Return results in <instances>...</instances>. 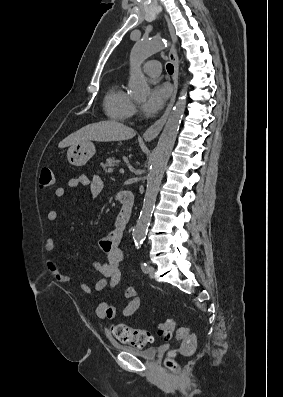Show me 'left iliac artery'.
Here are the masks:
<instances>
[{
	"label": "left iliac artery",
	"instance_id": "44dca946",
	"mask_svg": "<svg viewBox=\"0 0 283 397\" xmlns=\"http://www.w3.org/2000/svg\"><path fill=\"white\" fill-rule=\"evenodd\" d=\"M141 269L144 273L148 272V266L145 262H141Z\"/></svg>",
	"mask_w": 283,
	"mask_h": 397
}]
</instances>
